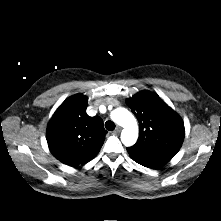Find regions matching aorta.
Returning a JSON list of instances; mask_svg holds the SVG:
<instances>
[{
    "label": "aorta",
    "mask_w": 221,
    "mask_h": 221,
    "mask_svg": "<svg viewBox=\"0 0 221 221\" xmlns=\"http://www.w3.org/2000/svg\"><path fill=\"white\" fill-rule=\"evenodd\" d=\"M111 118L123 127L121 141L125 146H132L138 138V125L133 114L125 108H116L111 112Z\"/></svg>",
    "instance_id": "1"
}]
</instances>
